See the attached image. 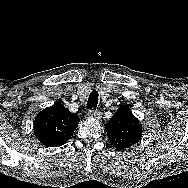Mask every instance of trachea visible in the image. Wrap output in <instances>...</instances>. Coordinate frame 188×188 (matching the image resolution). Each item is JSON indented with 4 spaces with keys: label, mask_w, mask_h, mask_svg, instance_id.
<instances>
[{
    "label": "trachea",
    "mask_w": 188,
    "mask_h": 188,
    "mask_svg": "<svg viewBox=\"0 0 188 188\" xmlns=\"http://www.w3.org/2000/svg\"><path fill=\"white\" fill-rule=\"evenodd\" d=\"M98 97H99L98 92L96 90H93L90 93L87 104H86L87 109H95L97 107Z\"/></svg>",
    "instance_id": "obj_1"
}]
</instances>
